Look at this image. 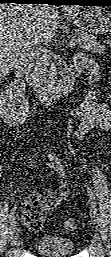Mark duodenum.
<instances>
[{
  "mask_svg": "<svg viewBox=\"0 0 111 257\" xmlns=\"http://www.w3.org/2000/svg\"><path fill=\"white\" fill-rule=\"evenodd\" d=\"M70 79L55 86V91H65L70 84Z\"/></svg>",
  "mask_w": 111,
  "mask_h": 257,
  "instance_id": "obj_1",
  "label": "duodenum"
}]
</instances>
